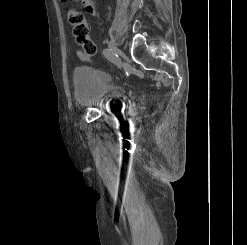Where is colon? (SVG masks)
I'll list each match as a JSON object with an SVG mask.
<instances>
[{
  "mask_svg": "<svg viewBox=\"0 0 247 245\" xmlns=\"http://www.w3.org/2000/svg\"><path fill=\"white\" fill-rule=\"evenodd\" d=\"M67 2V0H61ZM69 23L73 27V34L76 42L82 46L84 52L93 56L96 52V45L89 36V25L82 12L77 9H69L67 12Z\"/></svg>",
  "mask_w": 247,
  "mask_h": 245,
  "instance_id": "1",
  "label": "colon"
}]
</instances>
